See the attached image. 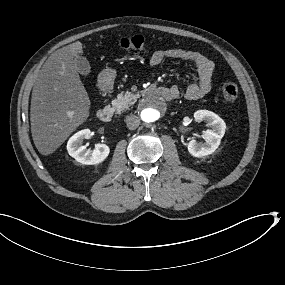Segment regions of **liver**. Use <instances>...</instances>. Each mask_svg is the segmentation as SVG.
I'll return each instance as SVG.
<instances>
[{
	"label": "liver",
	"instance_id": "6515ba94",
	"mask_svg": "<svg viewBox=\"0 0 285 285\" xmlns=\"http://www.w3.org/2000/svg\"><path fill=\"white\" fill-rule=\"evenodd\" d=\"M82 53L79 41L58 49L36 79L30 121L34 144L42 155L52 154L89 117L91 102L75 65Z\"/></svg>",
	"mask_w": 285,
	"mask_h": 285
}]
</instances>
